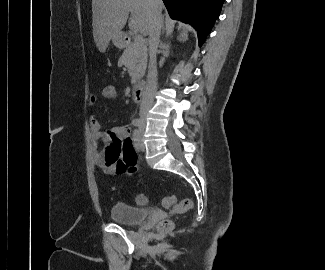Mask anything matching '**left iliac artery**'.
<instances>
[{
    "label": "left iliac artery",
    "instance_id": "1",
    "mask_svg": "<svg viewBox=\"0 0 325 270\" xmlns=\"http://www.w3.org/2000/svg\"><path fill=\"white\" fill-rule=\"evenodd\" d=\"M139 139H140L139 131L135 130L133 132V141H134V145L136 148H138V146H139Z\"/></svg>",
    "mask_w": 325,
    "mask_h": 270
}]
</instances>
